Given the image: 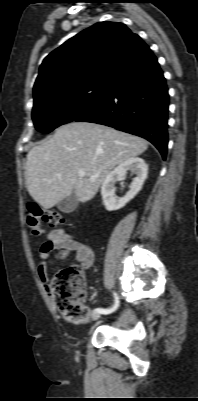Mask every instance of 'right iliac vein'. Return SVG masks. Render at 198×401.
I'll return each instance as SVG.
<instances>
[{
    "mask_svg": "<svg viewBox=\"0 0 198 401\" xmlns=\"http://www.w3.org/2000/svg\"><path fill=\"white\" fill-rule=\"evenodd\" d=\"M100 314L101 313L99 312H93L91 315L92 320H97L100 317Z\"/></svg>",
    "mask_w": 198,
    "mask_h": 401,
    "instance_id": "63e3f726",
    "label": "right iliac vein"
}]
</instances>
